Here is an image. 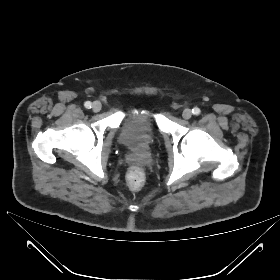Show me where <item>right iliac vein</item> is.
<instances>
[{"instance_id":"obj_1","label":"right iliac vein","mask_w":280,"mask_h":280,"mask_svg":"<svg viewBox=\"0 0 280 280\" xmlns=\"http://www.w3.org/2000/svg\"><path fill=\"white\" fill-rule=\"evenodd\" d=\"M102 108V105L99 101H95L92 105V109L94 112H99Z\"/></svg>"}]
</instances>
